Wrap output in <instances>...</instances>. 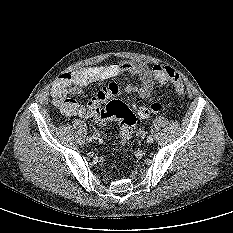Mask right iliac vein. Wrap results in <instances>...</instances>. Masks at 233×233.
<instances>
[{
  "instance_id": "right-iliac-vein-1",
  "label": "right iliac vein",
  "mask_w": 233,
  "mask_h": 233,
  "mask_svg": "<svg viewBox=\"0 0 233 233\" xmlns=\"http://www.w3.org/2000/svg\"><path fill=\"white\" fill-rule=\"evenodd\" d=\"M97 139H99V135L98 134H94L93 135V140H97Z\"/></svg>"
}]
</instances>
